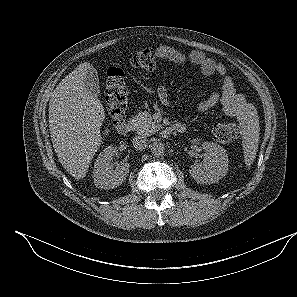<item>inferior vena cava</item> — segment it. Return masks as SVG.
I'll use <instances>...</instances> for the list:
<instances>
[{"mask_svg": "<svg viewBox=\"0 0 297 297\" xmlns=\"http://www.w3.org/2000/svg\"><path fill=\"white\" fill-rule=\"evenodd\" d=\"M132 143L135 149L143 150L147 146V138L145 136H135Z\"/></svg>", "mask_w": 297, "mask_h": 297, "instance_id": "obj_1", "label": "inferior vena cava"}]
</instances>
